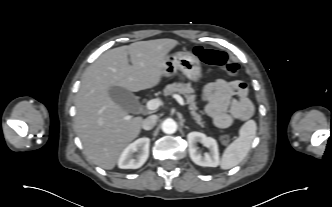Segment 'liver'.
<instances>
[{"label":"liver","mask_w":332,"mask_h":207,"mask_svg":"<svg viewBox=\"0 0 332 207\" xmlns=\"http://www.w3.org/2000/svg\"><path fill=\"white\" fill-rule=\"evenodd\" d=\"M178 44L174 39H156L117 47L85 70L75 101V130L92 163L113 169L123 149L139 135L143 122L142 117H130L116 104L109 89L118 86L138 92L157 86L164 60Z\"/></svg>","instance_id":"6515ba94"}]
</instances>
